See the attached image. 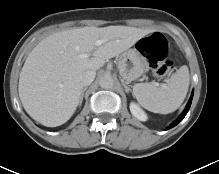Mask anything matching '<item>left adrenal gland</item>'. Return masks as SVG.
I'll return each mask as SVG.
<instances>
[{
	"label": "left adrenal gland",
	"instance_id": "1",
	"mask_svg": "<svg viewBox=\"0 0 219 174\" xmlns=\"http://www.w3.org/2000/svg\"><path fill=\"white\" fill-rule=\"evenodd\" d=\"M125 91H126V93H128L129 91H131V92H132V90L130 89V87H129V86H127V85H125Z\"/></svg>",
	"mask_w": 219,
	"mask_h": 174
}]
</instances>
